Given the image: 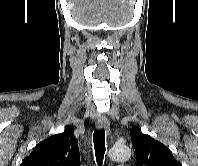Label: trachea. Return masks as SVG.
Returning <instances> with one entry per match:
<instances>
[{
    "instance_id": "3493384b",
    "label": "trachea",
    "mask_w": 198,
    "mask_h": 166,
    "mask_svg": "<svg viewBox=\"0 0 198 166\" xmlns=\"http://www.w3.org/2000/svg\"><path fill=\"white\" fill-rule=\"evenodd\" d=\"M93 143L95 149L96 162L99 166H102L104 154L106 151L104 129L94 131Z\"/></svg>"
}]
</instances>
